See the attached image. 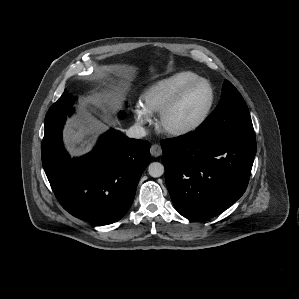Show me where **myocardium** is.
<instances>
[{"label":"myocardium","instance_id":"f54148a6","mask_svg":"<svg viewBox=\"0 0 299 299\" xmlns=\"http://www.w3.org/2000/svg\"><path fill=\"white\" fill-rule=\"evenodd\" d=\"M204 84L208 87L210 92V98L209 102L201 114V116L193 123L183 126V127H169L166 124V117L170 113V111L180 102V100L185 96V94L191 90L192 88ZM215 90L211 83L206 79H196L188 84H186L184 87H182L159 111L158 119H157V125L158 128L165 134L171 135V136H185L188 134H191L195 131H197L200 127L203 126V124L207 121L209 118L211 111L213 109L214 103H215Z\"/></svg>","mask_w":299,"mask_h":299}]
</instances>
